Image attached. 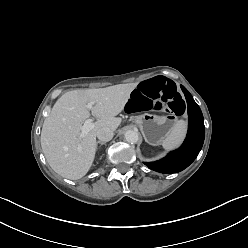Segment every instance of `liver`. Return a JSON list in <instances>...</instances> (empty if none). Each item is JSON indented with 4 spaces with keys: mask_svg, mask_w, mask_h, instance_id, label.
<instances>
[{
    "mask_svg": "<svg viewBox=\"0 0 248 248\" xmlns=\"http://www.w3.org/2000/svg\"><path fill=\"white\" fill-rule=\"evenodd\" d=\"M138 83L106 88L76 89L63 94L44 120L41 147L50 167L60 176L77 180L90 170L96 153V134L103 127L113 131L121 124L116 117ZM94 103L91 114L98 118L95 128L80 138L84 120L90 116L86 105Z\"/></svg>",
    "mask_w": 248,
    "mask_h": 248,
    "instance_id": "liver-1",
    "label": "liver"
}]
</instances>
